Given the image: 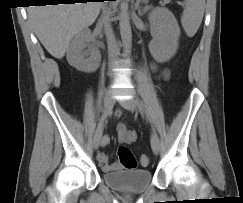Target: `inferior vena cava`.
I'll return each instance as SVG.
<instances>
[{"mask_svg": "<svg viewBox=\"0 0 243 203\" xmlns=\"http://www.w3.org/2000/svg\"><path fill=\"white\" fill-rule=\"evenodd\" d=\"M101 21L104 25V31L107 37L109 59L110 61H112L115 55L118 53L119 49L115 37L113 35V30L111 28L110 13L104 11Z\"/></svg>", "mask_w": 243, "mask_h": 203, "instance_id": "inferior-vena-cava-1", "label": "inferior vena cava"}]
</instances>
